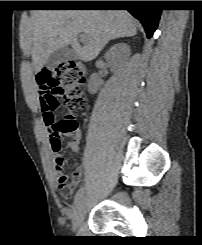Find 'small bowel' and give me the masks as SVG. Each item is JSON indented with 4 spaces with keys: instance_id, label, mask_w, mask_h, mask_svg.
<instances>
[{
    "instance_id": "c3829d8e",
    "label": "small bowel",
    "mask_w": 202,
    "mask_h": 245,
    "mask_svg": "<svg viewBox=\"0 0 202 245\" xmlns=\"http://www.w3.org/2000/svg\"><path fill=\"white\" fill-rule=\"evenodd\" d=\"M43 94H45V92L41 91V88L38 87V93H37L38 98H40V96H42ZM44 96H48L50 98L52 104L54 105V109H56L57 99L55 95L53 93L50 94L46 93ZM63 133L71 139V141L68 144V147L74 152H77L78 143L81 138L80 128L75 126L71 131L63 132ZM49 141L51 144L50 139ZM51 150L53 153L52 172L56 179V183H57L56 187L59 190H63L64 196H69L72 194L74 188L80 183L85 170V166L84 165L78 166L72 175L71 181L68 183V175L65 173L67 162L65 157L61 154V148L56 150L53 148L51 144Z\"/></svg>"
}]
</instances>
